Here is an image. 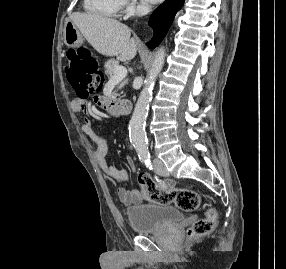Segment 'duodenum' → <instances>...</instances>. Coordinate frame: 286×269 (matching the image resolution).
Wrapping results in <instances>:
<instances>
[{
	"mask_svg": "<svg viewBox=\"0 0 286 269\" xmlns=\"http://www.w3.org/2000/svg\"><path fill=\"white\" fill-rule=\"evenodd\" d=\"M107 107H114V103L111 102ZM115 108L117 109L118 113L125 115L128 114L131 110V103L128 101H117L115 103Z\"/></svg>",
	"mask_w": 286,
	"mask_h": 269,
	"instance_id": "1",
	"label": "duodenum"
}]
</instances>
